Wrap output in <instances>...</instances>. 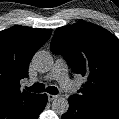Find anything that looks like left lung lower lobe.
<instances>
[{
    "label": "left lung lower lobe",
    "instance_id": "left-lung-lower-lobe-1",
    "mask_svg": "<svg viewBox=\"0 0 119 119\" xmlns=\"http://www.w3.org/2000/svg\"><path fill=\"white\" fill-rule=\"evenodd\" d=\"M68 100L69 109L62 119H119V115L98 110L74 97Z\"/></svg>",
    "mask_w": 119,
    "mask_h": 119
}]
</instances>
